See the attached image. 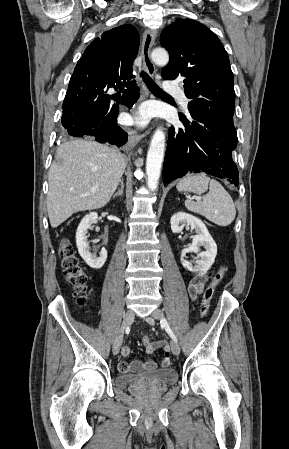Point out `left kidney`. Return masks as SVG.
I'll list each match as a JSON object with an SVG mask.
<instances>
[{"instance_id": "left-kidney-1", "label": "left kidney", "mask_w": 289, "mask_h": 449, "mask_svg": "<svg viewBox=\"0 0 289 449\" xmlns=\"http://www.w3.org/2000/svg\"><path fill=\"white\" fill-rule=\"evenodd\" d=\"M170 223L173 233L181 232L185 224L190 225L195 230L197 235L193 237L191 246L184 248L181 252V263L190 272L199 274L206 273L215 261L217 245L209 234L205 224L199 218L184 212L174 214L171 217ZM200 246H204L206 251L199 253L200 260H197L196 264L193 265L185 259L186 254L189 252H199Z\"/></svg>"}]
</instances>
